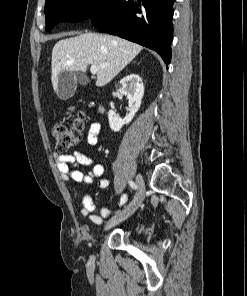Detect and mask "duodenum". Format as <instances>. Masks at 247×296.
I'll use <instances>...</instances> for the list:
<instances>
[{
  "mask_svg": "<svg viewBox=\"0 0 247 296\" xmlns=\"http://www.w3.org/2000/svg\"><path fill=\"white\" fill-rule=\"evenodd\" d=\"M98 109H99L100 112H103L104 111L103 105L100 104L99 107H98Z\"/></svg>",
  "mask_w": 247,
  "mask_h": 296,
  "instance_id": "duodenum-1",
  "label": "duodenum"
}]
</instances>
